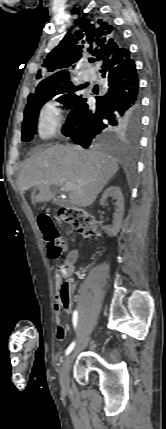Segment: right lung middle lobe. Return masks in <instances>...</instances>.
I'll return each instance as SVG.
<instances>
[{
  "mask_svg": "<svg viewBox=\"0 0 166 429\" xmlns=\"http://www.w3.org/2000/svg\"><path fill=\"white\" fill-rule=\"evenodd\" d=\"M77 90L78 87H74L69 79L52 85H38L35 92L29 95L24 111L22 141H31L34 138L38 114L43 104L62 94L56 100L62 103L65 108H71L79 98L74 93Z\"/></svg>",
  "mask_w": 166,
  "mask_h": 429,
  "instance_id": "obj_1",
  "label": "right lung middle lobe"
}]
</instances>
